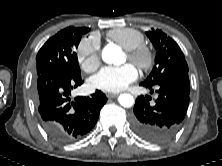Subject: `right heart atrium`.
<instances>
[{
	"instance_id": "1",
	"label": "right heart atrium",
	"mask_w": 222,
	"mask_h": 166,
	"mask_svg": "<svg viewBox=\"0 0 222 166\" xmlns=\"http://www.w3.org/2000/svg\"><path fill=\"white\" fill-rule=\"evenodd\" d=\"M76 57L81 68L92 72L100 65V43L95 36L81 40L76 50Z\"/></svg>"
}]
</instances>
